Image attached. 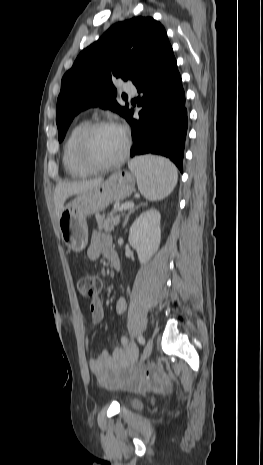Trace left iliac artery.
I'll use <instances>...</instances> for the list:
<instances>
[{"instance_id":"44dca946","label":"left iliac artery","mask_w":263,"mask_h":465,"mask_svg":"<svg viewBox=\"0 0 263 465\" xmlns=\"http://www.w3.org/2000/svg\"><path fill=\"white\" fill-rule=\"evenodd\" d=\"M138 341H139V343H140L141 345H144V344H145V339H144V337H143L142 335H139V336H138Z\"/></svg>"}]
</instances>
